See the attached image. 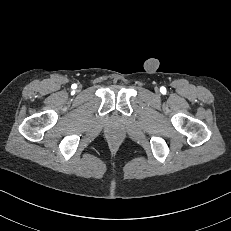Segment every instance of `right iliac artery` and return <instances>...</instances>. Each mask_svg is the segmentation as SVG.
Wrapping results in <instances>:
<instances>
[{"instance_id": "obj_1", "label": "right iliac artery", "mask_w": 231, "mask_h": 231, "mask_svg": "<svg viewBox=\"0 0 231 231\" xmlns=\"http://www.w3.org/2000/svg\"><path fill=\"white\" fill-rule=\"evenodd\" d=\"M72 87L75 89L77 86H76V84H73Z\"/></svg>"}]
</instances>
